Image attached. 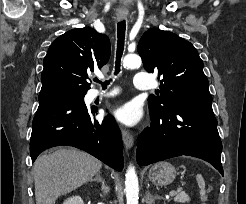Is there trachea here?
I'll return each mask as SVG.
<instances>
[{"label":"trachea","mask_w":246,"mask_h":204,"mask_svg":"<svg viewBox=\"0 0 246 204\" xmlns=\"http://www.w3.org/2000/svg\"><path fill=\"white\" fill-rule=\"evenodd\" d=\"M126 24L125 21H121L117 24V52H116V65H115V75L120 72V61L124 50V40H125ZM95 82L102 84L105 89L109 84V81L102 82L98 79H94Z\"/></svg>","instance_id":"trachea-1"}]
</instances>
